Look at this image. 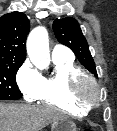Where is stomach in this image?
I'll return each instance as SVG.
<instances>
[{"instance_id": "1", "label": "stomach", "mask_w": 117, "mask_h": 131, "mask_svg": "<svg viewBox=\"0 0 117 131\" xmlns=\"http://www.w3.org/2000/svg\"><path fill=\"white\" fill-rule=\"evenodd\" d=\"M76 124L66 118L52 122L51 131H76Z\"/></svg>"}]
</instances>
